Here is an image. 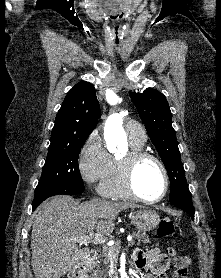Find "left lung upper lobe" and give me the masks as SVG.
<instances>
[{"mask_svg":"<svg viewBox=\"0 0 221 278\" xmlns=\"http://www.w3.org/2000/svg\"><path fill=\"white\" fill-rule=\"evenodd\" d=\"M147 133L155 145L170 179V202L192 197L185 178L172 115L165 96L154 89L130 93Z\"/></svg>","mask_w":221,"mask_h":278,"instance_id":"left-lung-upper-lobe-1","label":"left lung upper lobe"}]
</instances>
